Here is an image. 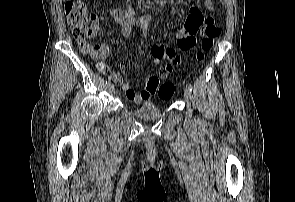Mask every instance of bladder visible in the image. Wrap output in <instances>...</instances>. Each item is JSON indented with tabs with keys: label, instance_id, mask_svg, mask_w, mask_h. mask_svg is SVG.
<instances>
[{
	"label": "bladder",
	"instance_id": "31cf9c89",
	"mask_svg": "<svg viewBox=\"0 0 295 202\" xmlns=\"http://www.w3.org/2000/svg\"><path fill=\"white\" fill-rule=\"evenodd\" d=\"M140 120H155L160 117L161 109L152 101H147L132 111Z\"/></svg>",
	"mask_w": 295,
	"mask_h": 202
}]
</instances>
